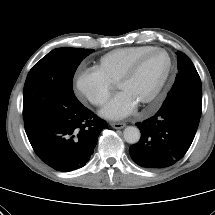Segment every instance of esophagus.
Instances as JSON below:
<instances>
[{
	"label": "esophagus",
	"instance_id": "34e87169",
	"mask_svg": "<svg viewBox=\"0 0 215 215\" xmlns=\"http://www.w3.org/2000/svg\"><path fill=\"white\" fill-rule=\"evenodd\" d=\"M110 125L115 129H122L126 126V124L123 122H112Z\"/></svg>",
	"mask_w": 215,
	"mask_h": 215
}]
</instances>
